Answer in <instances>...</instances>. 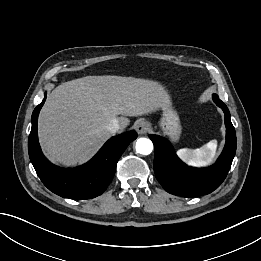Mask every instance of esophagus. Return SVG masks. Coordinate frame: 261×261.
<instances>
[{
	"label": "esophagus",
	"instance_id": "34e87169",
	"mask_svg": "<svg viewBox=\"0 0 261 261\" xmlns=\"http://www.w3.org/2000/svg\"><path fill=\"white\" fill-rule=\"evenodd\" d=\"M135 129L139 135L145 134L149 130V123L141 120L136 123Z\"/></svg>",
	"mask_w": 261,
	"mask_h": 261
}]
</instances>
